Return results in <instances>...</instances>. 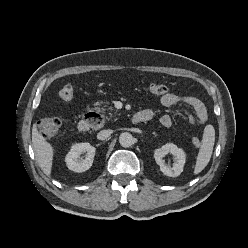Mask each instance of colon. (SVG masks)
<instances>
[{"label": "colon", "instance_id": "obj_1", "mask_svg": "<svg viewBox=\"0 0 248 248\" xmlns=\"http://www.w3.org/2000/svg\"><path fill=\"white\" fill-rule=\"evenodd\" d=\"M149 91L153 95H164L168 92V87L165 84L151 83ZM74 89L71 85H65L59 91V96L64 101H70L73 98ZM61 126V120L57 117L44 118L38 122V129L41 135L47 139L57 135ZM192 143L196 148H199L201 141L197 137L192 138Z\"/></svg>", "mask_w": 248, "mask_h": 248}]
</instances>
